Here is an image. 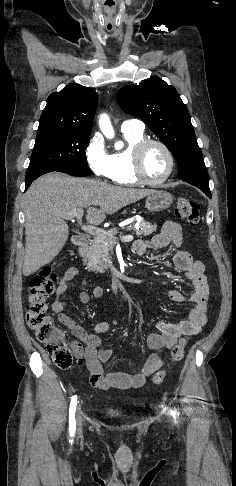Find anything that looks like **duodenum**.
Returning a JSON list of instances; mask_svg holds the SVG:
<instances>
[{"label":"duodenum","instance_id":"obj_1","mask_svg":"<svg viewBox=\"0 0 236 486\" xmlns=\"http://www.w3.org/2000/svg\"><path fill=\"white\" fill-rule=\"evenodd\" d=\"M74 248L81 250L84 249L88 244V239L83 235H76L72 239Z\"/></svg>","mask_w":236,"mask_h":486}]
</instances>
